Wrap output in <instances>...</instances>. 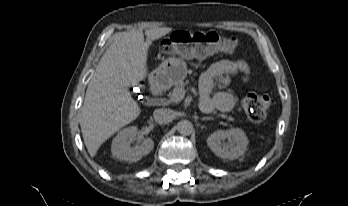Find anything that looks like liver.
<instances>
[{"label":"liver","mask_w":348,"mask_h":206,"mask_svg":"<svg viewBox=\"0 0 348 206\" xmlns=\"http://www.w3.org/2000/svg\"><path fill=\"white\" fill-rule=\"evenodd\" d=\"M171 31L170 27L148 29L146 41L141 30L115 35L88 84L80 114L83 140L91 157L108 138L140 115L129 87L148 76V48L152 42Z\"/></svg>","instance_id":"liver-1"}]
</instances>
